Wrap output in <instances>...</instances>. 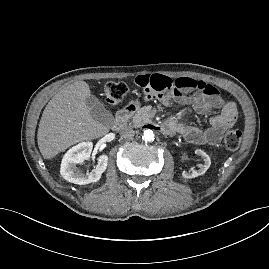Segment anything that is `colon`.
Segmentation results:
<instances>
[{"label":"colon","instance_id":"obj_1","mask_svg":"<svg viewBox=\"0 0 269 269\" xmlns=\"http://www.w3.org/2000/svg\"><path fill=\"white\" fill-rule=\"evenodd\" d=\"M139 86L142 87L141 84H139ZM126 93L127 86L122 82H109L104 87L106 100L112 105L121 102ZM241 140L242 132L238 129L228 130L224 135V144L230 151L237 150L240 146Z\"/></svg>","mask_w":269,"mask_h":269}]
</instances>
